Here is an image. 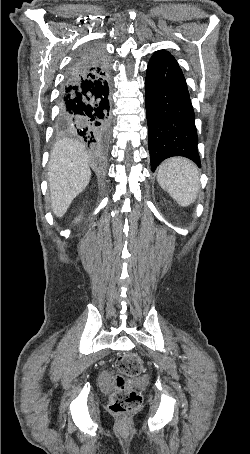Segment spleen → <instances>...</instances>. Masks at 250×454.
<instances>
[{
	"mask_svg": "<svg viewBox=\"0 0 250 454\" xmlns=\"http://www.w3.org/2000/svg\"><path fill=\"white\" fill-rule=\"evenodd\" d=\"M161 188L183 207L192 204L199 190V174L196 165L185 158L164 161L157 174Z\"/></svg>",
	"mask_w": 250,
	"mask_h": 454,
	"instance_id": "spleen-1",
	"label": "spleen"
}]
</instances>
